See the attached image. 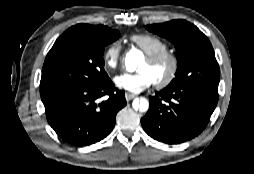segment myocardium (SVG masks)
Segmentation results:
<instances>
[{"instance_id":"f54148a6","label":"myocardium","mask_w":254,"mask_h":174,"mask_svg":"<svg viewBox=\"0 0 254 174\" xmlns=\"http://www.w3.org/2000/svg\"><path fill=\"white\" fill-rule=\"evenodd\" d=\"M146 60L150 64H157L165 60L169 62L170 67L166 77L163 80L155 82V86L158 89H164L174 81L179 69V60L175 53L169 50H163L151 55H147Z\"/></svg>"}]
</instances>
